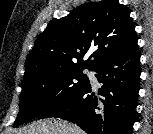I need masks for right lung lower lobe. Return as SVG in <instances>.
<instances>
[{
	"label": "right lung lower lobe",
	"mask_w": 153,
	"mask_h": 134,
	"mask_svg": "<svg viewBox=\"0 0 153 134\" xmlns=\"http://www.w3.org/2000/svg\"><path fill=\"white\" fill-rule=\"evenodd\" d=\"M98 95L90 82L41 117H57L77 124L87 134H132L140 88L138 45L109 56L96 65Z\"/></svg>",
	"instance_id": "98d812e1"
}]
</instances>
